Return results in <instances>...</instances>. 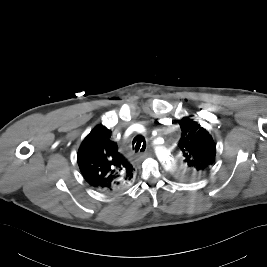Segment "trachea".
I'll return each instance as SVG.
<instances>
[{
	"mask_svg": "<svg viewBox=\"0 0 267 267\" xmlns=\"http://www.w3.org/2000/svg\"><path fill=\"white\" fill-rule=\"evenodd\" d=\"M132 148L135 153L144 152L146 149V141L143 136H136L132 142Z\"/></svg>",
	"mask_w": 267,
	"mask_h": 267,
	"instance_id": "trachea-1",
	"label": "trachea"
}]
</instances>
